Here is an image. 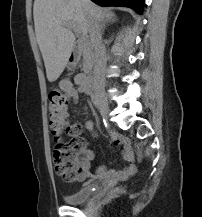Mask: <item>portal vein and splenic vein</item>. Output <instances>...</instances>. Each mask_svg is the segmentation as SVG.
Masks as SVG:
<instances>
[{"instance_id": "18ae733b", "label": "portal vein and splenic vein", "mask_w": 202, "mask_h": 217, "mask_svg": "<svg viewBox=\"0 0 202 217\" xmlns=\"http://www.w3.org/2000/svg\"><path fill=\"white\" fill-rule=\"evenodd\" d=\"M65 27L69 28V29H73V31L76 33V34H80V30L76 27V25H74L73 23L71 22H67L64 24Z\"/></svg>"}]
</instances>
